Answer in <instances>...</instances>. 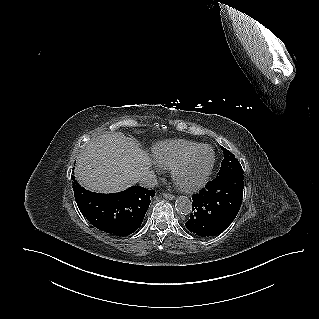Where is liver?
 <instances>
[{
	"label": "liver",
	"mask_w": 319,
	"mask_h": 319,
	"mask_svg": "<svg viewBox=\"0 0 319 319\" xmlns=\"http://www.w3.org/2000/svg\"><path fill=\"white\" fill-rule=\"evenodd\" d=\"M150 166L148 154L133 140L120 133L103 134L79 154L75 176L88 190L113 193L135 185Z\"/></svg>",
	"instance_id": "1"
}]
</instances>
